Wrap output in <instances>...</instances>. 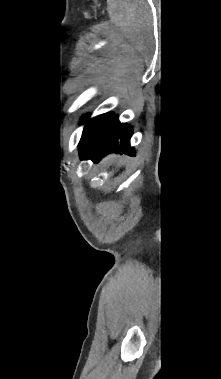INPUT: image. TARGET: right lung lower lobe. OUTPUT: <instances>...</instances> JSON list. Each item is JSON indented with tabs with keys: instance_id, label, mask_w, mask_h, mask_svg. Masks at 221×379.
<instances>
[{
	"instance_id": "right-lung-lower-lobe-1",
	"label": "right lung lower lobe",
	"mask_w": 221,
	"mask_h": 379,
	"mask_svg": "<svg viewBox=\"0 0 221 379\" xmlns=\"http://www.w3.org/2000/svg\"><path fill=\"white\" fill-rule=\"evenodd\" d=\"M132 128L127 124H120L114 117L102 136L95 143H80L79 151L81 159H93L99 161L103 156L111 152H119L134 156V150L129 145L132 136Z\"/></svg>"
}]
</instances>
